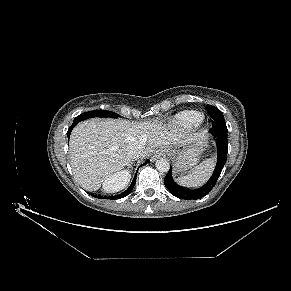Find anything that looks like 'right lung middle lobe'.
I'll list each match as a JSON object with an SVG mask.
<instances>
[{
	"label": "right lung middle lobe",
	"mask_w": 291,
	"mask_h": 291,
	"mask_svg": "<svg viewBox=\"0 0 291 291\" xmlns=\"http://www.w3.org/2000/svg\"><path fill=\"white\" fill-rule=\"evenodd\" d=\"M95 116H99V117H111V118H117V117H119L118 114H116L114 112H111V111L94 110V111H89V112L82 113L81 115L77 116L74 119V122H80L82 120L88 119L90 117H95Z\"/></svg>",
	"instance_id": "dd1d6c3e"
}]
</instances>
